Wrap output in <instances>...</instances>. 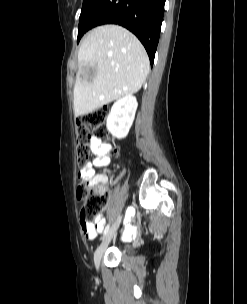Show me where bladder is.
<instances>
[{"mask_svg": "<svg viewBox=\"0 0 247 304\" xmlns=\"http://www.w3.org/2000/svg\"><path fill=\"white\" fill-rule=\"evenodd\" d=\"M123 251H124V253H126V254H129V253H130V250H129V249H124Z\"/></svg>", "mask_w": 247, "mask_h": 304, "instance_id": "31cf9c89", "label": "bladder"}]
</instances>
